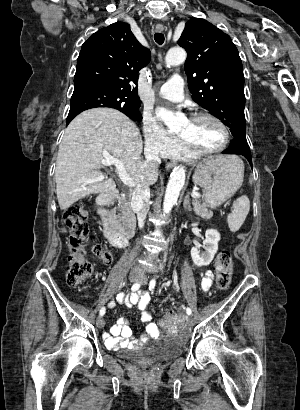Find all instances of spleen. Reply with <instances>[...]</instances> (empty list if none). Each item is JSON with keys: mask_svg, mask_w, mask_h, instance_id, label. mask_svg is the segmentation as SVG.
I'll use <instances>...</instances> for the list:
<instances>
[{"mask_svg": "<svg viewBox=\"0 0 300 410\" xmlns=\"http://www.w3.org/2000/svg\"><path fill=\"white\" fill-rule=\"evenodd\" d=\"M249 210L250 201L247 196H241L234 202L233 211L227 216V222L231 232H236L240 229Z\"/></svg>", "mask_w": 300, "mask_h": 410, "instance_id": "spleen-1", "label": "spleen"}]
</instances>
